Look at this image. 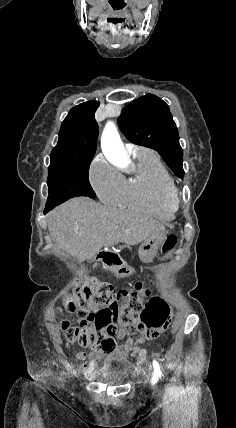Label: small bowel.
I'll return each mask as SVG.
<instances>
[{"mask_svg":"<svg viewBox=\"0 0 236 428\" xmlns=\"http://www.w3.org/2000/svg\"><path fill=\"white\" fill-rule=\"evenodd\" d=\"M126 327H120V335H124ZM160 331L153 330L149 332H139L135 336L131 337L127 343L120 347L115 353L105 355L101 352L79 353V358L82 360V367L84 371L90 375L95 376L102 369H104L111 362L128 363L129 361L136 359L141 362L145 358L146 352L140 348V344L146 339H152L159 335Z\"/></svg>","mask_w":236,"mask_h":428,"instance_id":"obj_1","label":"small bowel"}]
</instances>
